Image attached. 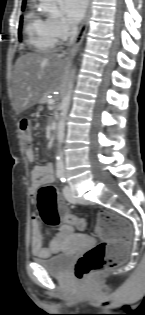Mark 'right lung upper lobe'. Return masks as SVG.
I'll use <instances>...</instances> for the list:
<instances>
[{
    "label": "right lung upper lobe",
    "instance_id": "right-lung-upper-lobe-1",
    "mask_svg": "<svg viewBox=\"0 0 145 315\" xmlns=\"http://www.w3.org/2000/svg\"><path fill=\"white\" fill-rule=\"evenodd\" d=\"M25 1H26V0L23 1V6H25Z\"/></svg>",
    "mask_w": 145,
    "mask_h": 315
}]
</instances>
